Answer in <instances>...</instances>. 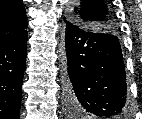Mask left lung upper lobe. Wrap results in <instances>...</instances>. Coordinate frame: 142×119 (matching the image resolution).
<instances>
[{"label": "left lung upper lobe", "instance_id": "obj_1", "mask_svg": "<svg viewBox=\"0 0 142 119\" xmlns=\"http://www.w3.org/2000/svg\"><path fill=\"white\" fill-rule=\"evenodd\" d=\"M67 18L89 31L111 34L117 31L115 16L103 0H80Z\"/></svg>", "mask_w": 142, "mask_h": 119}]
</instances>
